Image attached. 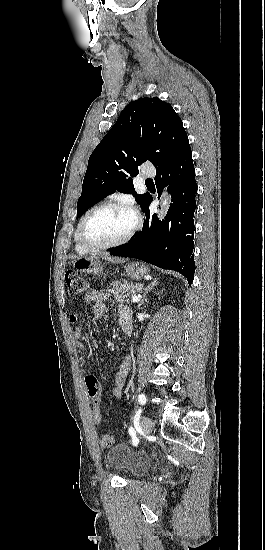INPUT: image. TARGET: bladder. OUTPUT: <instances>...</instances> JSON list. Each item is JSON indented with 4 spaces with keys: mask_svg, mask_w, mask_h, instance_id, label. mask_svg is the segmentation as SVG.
<instances>
[{
    "mask_svg": "<svg viewBox=\"0 0 265 550\" xmlns=\"http://www.w3.org/2000/svg\"><path fill=\"white\" fill-rule=\"evenodd\" d=\"M105 459L113 470L123 471L134 477L143 475L149 467L147 456L124 445L110 448L105 454Z\"/></svg>",
    "mask_w": 265,
    "mask_h": 550,
    "instance_id": "31cf9c89",
    "label": "bladder"
}]
</instances>
